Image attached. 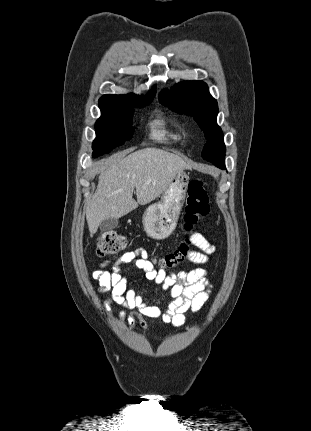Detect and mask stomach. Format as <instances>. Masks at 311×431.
<instances>
[{
  "mask_svg": "<svg viewBox=\"0 0 311 431\" xmlns=\"http://www.w3.org/2000/svg\"><path fill=\"white\" fill-rule=\"evenodd\" d=\"M189 174L180 172L163 192L160 202L146 208L143 216V227L152 239H166L177 227L179 216L184 206Z\"/></svg>",
  "mask_w": 311,
  "mask_h": 431,
  "instance_id": "stomach-1",
  "label": "stomach"
}]
</instances>
